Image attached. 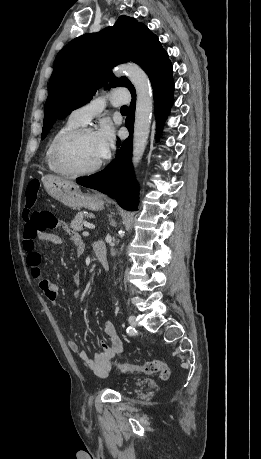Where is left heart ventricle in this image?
Wrapping results in <instances>:
<instances>
[{"instance_id": "obj_1", "label": "left heart ventricle", "mask_w": 261, "mask_h": 459, "mask_svg": "<svg viewBox=\"0 0 261 459\" xmlns=\"http://www.w3.org/2000/svg\"><path fill=\"white\" fill-rule=\"evenodd\" d=\"M66 164L73 169H88L102 160L94 134H86L71 142L64 154Z\"/></svg>"}]
</instances>
